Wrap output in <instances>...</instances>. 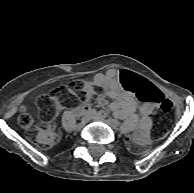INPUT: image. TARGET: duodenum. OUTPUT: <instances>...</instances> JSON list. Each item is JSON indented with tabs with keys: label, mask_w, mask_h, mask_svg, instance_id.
I'll use <instances>...</instances> for the list:
<instances>
[{
	"label": "duodenum",
	"mask_w": 194,
	"mask_h": 193,
	"mask_svg": "<svg viewBox=\"0 0 194 193\" xmlns=\"http://www.w3.org/2000/svg\"><path fill=\"white\" fill-rule=\"evenodd\" d=\"M75 113L76 114H80V115H86V116H100V114H97L95 111H93L92 109L90 108H76L75 109Z\"/></svg>",
	"instance_id": "410a0bca"
}]
</instances>
